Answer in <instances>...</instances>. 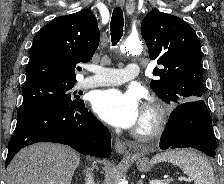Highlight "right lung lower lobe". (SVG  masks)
<instances>
[{"label":"right lung lower lobe","mask_w":224,"mask_h":184,"mask_svg":"<svg viewBox=\"0 0 224 184\" xmlns=\"http://www.w3.org/2000/svg\"><path fill=\"white\" fill-rule=\"evenodd\" d=\"M37 142L66 144L79 153L96 157L111 154V134L88 112L83 101L75 106H41L18 117L5 167L19 150Z\"/></svg>","instance_id":"obj_1"}]
</instances>
